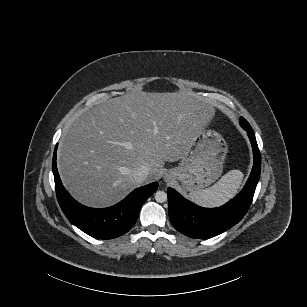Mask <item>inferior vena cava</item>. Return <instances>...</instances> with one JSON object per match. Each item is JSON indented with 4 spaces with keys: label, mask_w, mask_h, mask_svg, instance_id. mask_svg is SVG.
Listing matches in <instances>:
<instances>
[{
    "label": "inferior vena cava",
    "mask_w": 307,
    "mask_h": 307,
    "mask_svg": "<svg viewBox=\"0 0 307 307\" xmlns=\"http://www.w3.org/2000/svg\"><path fill=\"white\" fill-rule=\"evenodd\" d=\"M150 168L147 165H141L134 173L133 178L136 181V183H143L148 174H149Z\"/></svg>",
    "instance_id": "inferior-vena-cava-1"
}]
</instances>
